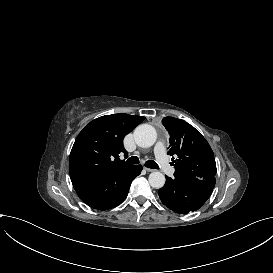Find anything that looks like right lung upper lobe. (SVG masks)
<instances>
[{"label": "right lung upper lobe", "mask_w": 273, "mask_h": 273, "mask_svg": "<svg viewBox=\"0 0 273 273\" xmlns=\"http://www.w3.org/2000/svg\"><path fill=\"white\" fill-rule=\"evenodd\" d=\"M145 117L128 114L105 115L87 124L77 136L69 158L70 178L78 196L89 206L108 198L116 178L134 165L120 160L124 137Z\"/></svg>", "instance_id": "obj_1"}]
</instances>
